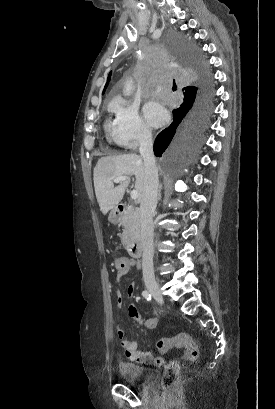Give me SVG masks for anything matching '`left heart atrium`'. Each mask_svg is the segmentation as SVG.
<instances>
[{"instance_id": "obj_1", "label": "left heart atrium", "mask_w": 275, "mask_h": 409, "mask_svg": "<svg viewBox=\"0 0 275 409\" xmlns=\"http://www.w3.org/2000/svg\"><path fill=\"white\" fill-rule=\"evenodd\" d=\"M144 111L147 118L155 125H163L168 121L167 112L157 103L146 104Z\"/></svg>"}]
</instances>
